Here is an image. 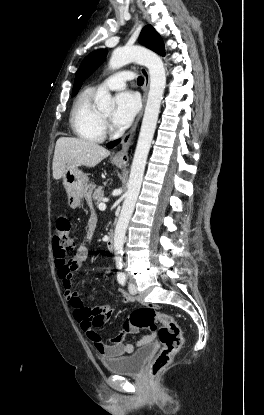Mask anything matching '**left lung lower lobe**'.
Masks as SVG:
<instances>
[{"label":"left lung lower lobe","mask_w":264,"mask_h":415,"mask_svg":"<svg viewBox=\"0 0 264 415\" xmlns=\"http://www.w3.org/2000/svg\"><path fill=\"white\" fill-rule=\"evenodd\" d=\"M119 142H120V140H116V141H113V142L109 143L107 146L109 148H112L113 146L117 145Z\"/></svg>","instance_id":"left-lung-lower-lobe-1"}]
</instances>
